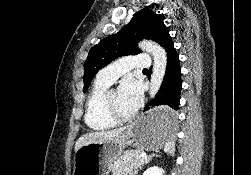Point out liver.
I'll return each mask as SVG.
<instances>
[{
	"mask_svg": "<svg viewBox=\"0 0 251 175\" xmlns=\"http://www.w3.org/2000/svg\"><path fill=\"white\" fill-rule=\"evenodd\" d=\"M128 127H118V129H110V131H89L84 133L75 143V151H78L79 147H82L84 143H93V141H115L120 139L122 133H126Z\"/></svg>",
	"mask_w": 251,
	"mask_h": 175,
	"instance_id": "6515ba94",
	"label": "liver"
}]
</instances>
